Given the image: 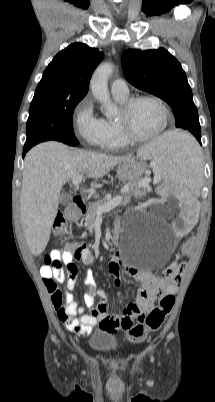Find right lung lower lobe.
I'll return each instance as SVG.
<instances>
[{
    "label": "right lung lower lobe",
    "instance_id": "right-lung-lower-lobe-1",
    "mask_svg": "<svg viewBox=\"0 0 215 402\" xmlns=\"http://www.w3.org/2000/svg\"><path fill=\"white\" fill-rule=\"evenodd\" d=\"M30 148H31V147L24 146L23 157L25 156L26 152H27Z\"/></svg>",
    "mask_w": 215,
    "mask_h": 402
}]
</instances>
